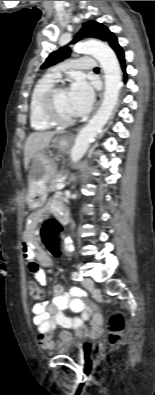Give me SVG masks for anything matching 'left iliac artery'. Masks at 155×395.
Masks as SVG:
<instances>
[{
  "label": "left iliac artery",
  "mask_w": 155,
  "mask_h": 395,
  "mask_svg": "<svg viewBox=\"0 0 155 395\" xmlns=\"http://www.w3.org/2000/svg\"><path fill=\"white\" fill-rule=\"evenodd\" d=\"M72 279L75 281H81L82 280V276L79 272L74 271L72 272Z\"/></svg>",
  "instance_id": "obj_1"
}]
</instances>
